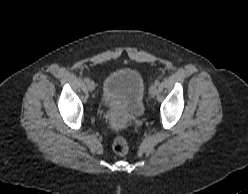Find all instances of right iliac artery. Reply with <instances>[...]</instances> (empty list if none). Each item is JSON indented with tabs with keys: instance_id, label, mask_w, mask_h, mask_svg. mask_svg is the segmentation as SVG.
I'll list each match as a JSON object with an SVG mask.
<instances>
[{
	"instance_id": "82829eb1",
	"label": "right iliac artery",
	"mask_w": 248,
	"mask_h": 194,
	"mask_svg": "<svg viewBox=\"0 0 248 194\" xmlns=\"http://www.w3.org/2000/svg\"><path fill=\"white\" fill-rule=\"evenodd\" d=\"M84 82H86V83L89 82V78H87V77L84 78Z\"/></svg>"
}]
</instances>
